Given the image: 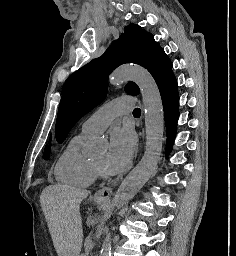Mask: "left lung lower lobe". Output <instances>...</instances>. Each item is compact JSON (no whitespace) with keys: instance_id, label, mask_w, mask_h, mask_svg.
I'll return each mask as SVG.
<instances>
[{"instance_id":"0a47b994","label":"left lung lower lobe","mask_w":236,"mask_h":256,"mask_svg":"<svg viewBox=\"0 0 236 256\" xmlns=\"http://www.w3.org/2000/svg\"><path fill=\"white\" fill-rule=\"evenodd\" d=\"M165 115L166 131H167V148L166 153L168 154L174 142L176 134L177 120L179 116V96L177 92V81L172 71L167 73L157 83Z\"/></svg>"}]
</instances>
